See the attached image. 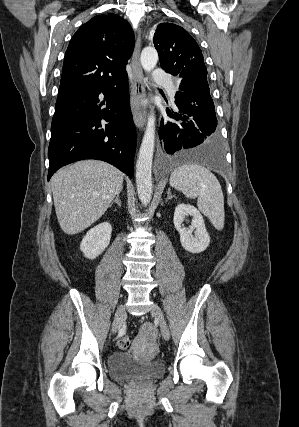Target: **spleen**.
<instances>
[{"mask_svg": "<svg viewBox=\"0 0 299 427\" xmlns=\"http://www.w3.org/2000/svg\"><path fill=\"white\" fill-rule=\"evenodd\" d=\"M170 185L187 198L197 197L199 210L217 230L223 229L224 196L218 179L210 170L197 164L182 165L171 173Z\"/></svg>", "mask_w": 299, "mask_h": 427, "instance_id": "1", "label": "spleen"}]
</instances>
